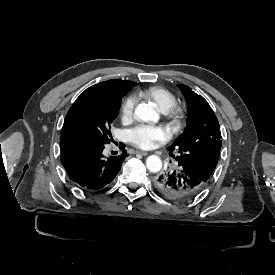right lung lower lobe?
<instances>
[{
    "label": "right lung lower lobe",
    "instance_id": "1",
    "mask_svg": "<svg viewBox=\"0 0 275 275\" xmlns=\"http://www.w3.org/2000/svg\"><path fill=\"white\" fill-rule=\"evenodd\" d=\"M104 144L90 140L61 141V162L69 178L84 190H99L118 174L128 156L124 149L119 156L105 158Z\"/></svg>",
    "mask_w": 275,
    "mask_h": 275
}]
</instances>
